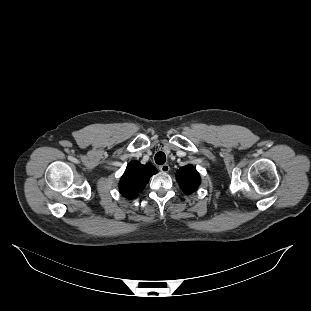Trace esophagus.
Here are the masks:
<instances>
[{"mask_svg": "<svg viewBox=\"0 0 311 311\" xmlns=\"http://www.w3.org/2000/svg\"><path fill=\"white\" fill-rule=\"evenodd\" d=\"M159 170L161 172L166 173V172H168L170 170V166L168 164L161 165V166H159Z\"/></svg>", "mask_w": 311, "mask_h": 311, "instance_id": "obj_1", "label": "esophagus"}]
</instances>
